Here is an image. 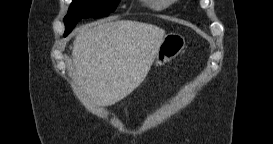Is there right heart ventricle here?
I'll return each mask as SVG.
<instances>
[{"label": "right heart ventricle", "instance_id": "e07e8e85", "mask_svg": "<svg viewBox=\"0 0 273 144\" xmlns=\"http://www.w3.org/2000/svg\"><path fill=\"white\" fill-rule=\"evenodd\" d=\"M144 7H146L150 11H161L164 7L168 5L166 1L163 0H144Z\"/></svg>", "mask_w": 273, "mask_h": 144}]
</instances>
